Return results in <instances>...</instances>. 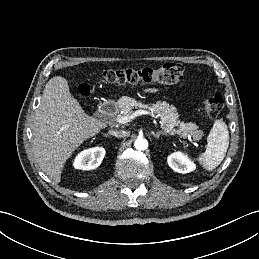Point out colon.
Here are the masks:
<instances>
[{
    "mask_svg": "<svg viewBox=\"0 0 259 259\" xmlns=\"http://www.w3.org/2000/svg\"><path fill=\"white\" fill-rule=\"evenodd\" d=\"M103 79L112 84L136 85L140 83H161L174 85L183 80L184 67L180 63H167L158 68L108 69L101 73ZM83 96L89 95V87L83 84L79 88ZM204 111L209 117H216L223 108V98L215 94L204 101Z\"/></svg>",
    "mask_w": 259,
    "mask_h": 259,
    "instance_id": "1",
    "label": "colon"
}]
</instances>
